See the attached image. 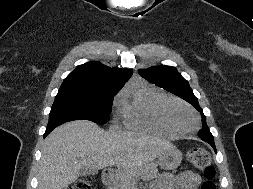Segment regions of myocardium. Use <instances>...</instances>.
Wrapping results in <instances>:
<instances>
[{
	"mask_svg": "<svg viewBox=\"0 0 253 189\" xmlns=\"http://www.w3.org/2000/svg\"><path fill=\"white\" fill-rule=\"evenodd\" d=\"M173 107H182L184 109H186L188 112H190V114L192 115L193 119H194V126L191 128H180L179 126H177V124L173 121V119L171 118L170 115V111ZM157 117L159 119V121L165 126L167 127L169 130H171L173 133L178 134V135H186V134H190L194 131L197 130L200 121H199V117L196 113V111L190 107L188 104L175 99V98H166L164 99L157 107Z\"/></svg>",
	"mask_w": 253,
	"mask_h": 189,
	"instance_id": "f54148a6",
	"label": "myocardium"
}]
</instances>
